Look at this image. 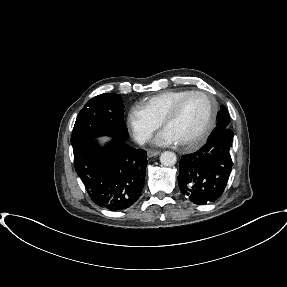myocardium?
Wrapping results in <instances>:
<instances>
[{"mask_svg":"<svg viewBox=\"0 0 287 287\" xmlns=\"http://www.w3.org/2000/svg\"><path fill=\"white\" fill-rule=\"evenodd\" d=\"M193 96H202L207 100L208 105H209V113H208L207 123H206L204 129L202 130V132L196 138L180 143L181 146L189 148V149L197 148L202 143H204V141L208 138V136L210 135V133L212 132V130L215 126L217 108H216L215 101L213 100V98L209 94H207L206 92H203V91H191V92H189L188 94H186L185 96L180 98L172 106V108L166 113V115L164 116V118L161 122L162 127L165 128V126L168 122H170L171 120L176 118V116L179 114L184 103L189 98H191Z\"/></svg>","mask_w":287,"mask_h":287,"instance_id":"1","label":"myocardium"}]
</instances>
